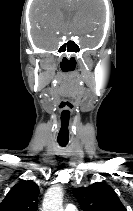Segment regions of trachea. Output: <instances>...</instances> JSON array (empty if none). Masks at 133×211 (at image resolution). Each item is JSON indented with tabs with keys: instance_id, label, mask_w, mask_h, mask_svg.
Returning a JSON list of instances; mask_svg holds the SVG:
<instances>
[{
	"instance_id": "trachea-1",
	"label": "trachea",
	"mask_w": 133,
	"mask_h": 211,
	"mask_svg": "<svg viewBox=\"0 0 133 211\" xmlns=\"http://www.w3.org/2000/svg\"><path fill=\"white\" fill-rule=\"evenodd\" d=\"M58 143L60 144V146H66L68 144V141L58 140Z\"/></svg>"
}]
</instances>
